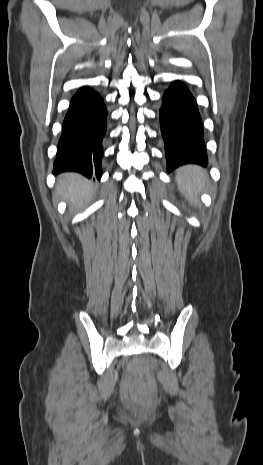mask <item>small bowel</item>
Listing matches in <instances>:
<instances>
[{"label": "small bowel", "instance_id": "obj_1", "mask_svg": "<svg viewBox=\"0 0 263 465\" xmlns=\"http://www.w3.org/2000/svg\"><path fill=\"white\" fill-rule=\"evenodd\" d=\"M140 376L139 374L136 375V377ZM122 389H123V393L125 395H127L131 389V378L130 376H127L123 382V386H122Z\"/></svg>", "mask_w": 263, "mask_h": 465}]
</instances>
